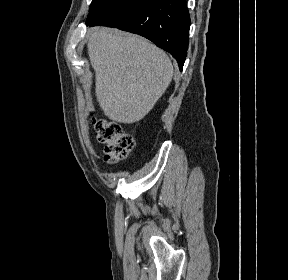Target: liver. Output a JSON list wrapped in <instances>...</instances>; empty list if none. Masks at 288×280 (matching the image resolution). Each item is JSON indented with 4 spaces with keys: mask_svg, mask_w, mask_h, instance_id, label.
Wrapping results in <instances>:
<instances>
[{
    "mask_svg": "<svg viewBox=\"0 0 288 280\" xmlns=\"http://www.w3.org/2000/svg\"><path fill=\"white\" fill-rule=\"evenodd\" d=\"M87 48L95 71L97 101L113 121L141 120L171 82L169 57L137 35H115L107 28H97Z\"/></svg>",
    "mask_w": 288,
    "mask_h": 280,
    "instance_id": "1",
    "label": "liver"
}]
</instances>
